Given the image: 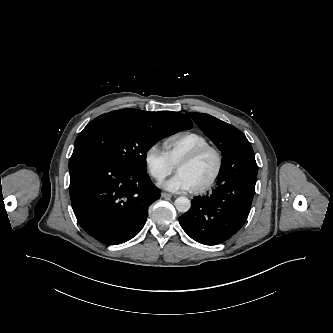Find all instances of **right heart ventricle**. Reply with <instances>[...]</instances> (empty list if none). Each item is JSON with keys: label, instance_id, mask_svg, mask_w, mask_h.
Masks as SVG:
<instances>
[{"label": "right heart ventricle", "instance_id": "obj_1", "mask_svg": "<svg viewBox=\"0 0 333 333\" xmlns=\"http://www.w3.org/2000/svg\"><path fill=\"white\" fill-rule=\"evenodd\" d=\"M210 145L201 134L183 131L167 137L163 142L164 152L174 165L195 149Z\"/></svg>", "mask_w": 333, "mask_h": 333}]
</instances>
